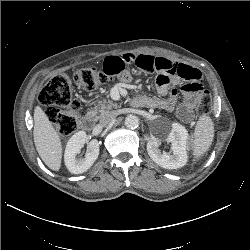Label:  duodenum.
<instances>
[{
	"label": "duodenum",
	"instance_id": "duodenum-1",
	"mask_svg": "<svg viewBox=\"0 0 250 250\" xmlns=\"http://www.w3.org/2000/svg\"><path fill=\"white\" fill-rule=\"evenodd\" d=\"M136 99L134 100L135 104H137ZM82 126L84 129L91 130L94 127V115L91 113L84 115L82 118Z\"/></svg>",
	"mask_w": 250,
	"mask_h": 250
}]
</instances>
